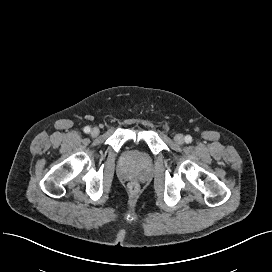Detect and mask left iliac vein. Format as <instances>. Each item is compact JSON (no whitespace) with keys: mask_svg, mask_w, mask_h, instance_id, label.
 <instances>
[{"mask_svg":"<svg viewBox=\"0 0 272 272\" xmlns=\"http://www.w3.org/2000/svg\"><path fill=\"white\" fill-rule=\"evenodd\" d=\"M184 136L182 135V134H177V135H175V137H174V141H175V143L176 144H178V145H181V144H183L184 143Z\"/></svg>","mask_w":272,"mask_h":272,"instance_id":"4c4485c4","label":"left iliac vein"}]
</instances>
